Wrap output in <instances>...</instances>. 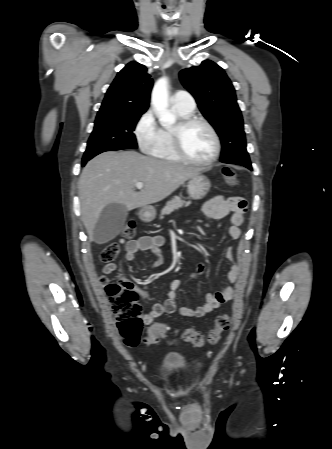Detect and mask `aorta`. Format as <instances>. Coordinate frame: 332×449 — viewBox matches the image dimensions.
<instances>
[{"instance_id":"1","label":"aorta","mask_w":332,"mask_h":449,"mask_svg":"<svg viewBox=\"0 0 332 449\" xmlns=\"http://www.w3.org/2000/svg\"><path fill=\"white\" fill-rule=\"evenodd\" d=\"M151 103L162 125L175 123L174 115L168 110V79L160 78L154 85L151 95Z\"/></svg>"}]
</instances>
